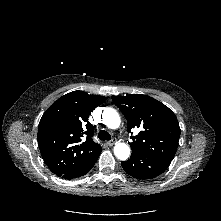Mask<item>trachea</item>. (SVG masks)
Wrapping results in <instances>:
<instances>
[{"instance_id": "obj_1", "label": "trachea", "mask_w": 221, "mask_h": 221, "mask_svg": "<svg viewBox=\"0 0 221 221\" xmlns=\"http://www.w3.org/2000/svg\"><path fill=\"white\" fill-rule=\"evenodd\" d=\"M98 138L101 140V141H109L111 140V135L106 132L105 130H101L99 133H98Z\"/></svg>"}]
</instances>
